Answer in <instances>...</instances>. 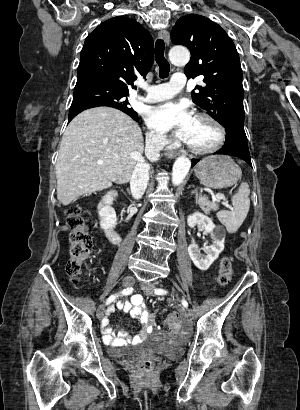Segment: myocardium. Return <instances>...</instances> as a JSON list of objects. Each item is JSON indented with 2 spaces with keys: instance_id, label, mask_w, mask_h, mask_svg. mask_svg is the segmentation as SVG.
<instances>
[{
  "instance_id": "obj_1",
  "label": "myocardium",
  "mask_w": 300,
  "mask_h": 410,
  "mask_svg": "<svg viewBox=\"0 0 300 410\" xmlns=\"http://www.w3.org/2000/svg\"><path fill=\"white\" fill-rule=\"evenodd\" d=\"M196 118L208 121L211 124H213L219 132V139L213 146L208 147V148H198V147H195L187 143L188 149L191 152L195 154H199V155L211 154L221 149L227 140V130L225 126L217 118L207 113H198L196 115Z\"/></svg>"
}]
</instances>
